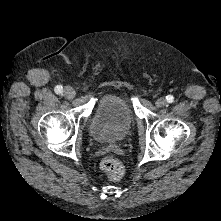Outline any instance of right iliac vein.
<instances>
[{
	"mask_svg": "<svg viewBox=\"0 0 221 221\" xmlns=\"http://www.w3.org/2000/svg\"><path fill=\"white\" fill-rule=\"evenodd\" d=\"M75 95H76V93L72 87H70V86L65 87L64 96L67 99H73L75 97Z\"/></svg>",
	"mask_w": 221,
	"mask_h": 221,
	"instance_id": "obj_1",
	"label": "right iliac vein"
}]
</instances>
